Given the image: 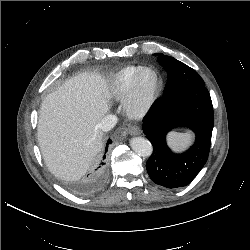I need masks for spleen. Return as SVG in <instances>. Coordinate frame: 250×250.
<instances>
[{
  "instance_id": "3e777b00",
  "label": "spleen",
  "mask_w": 250,
  "mask_h": 250,
  "mask_svg": "<svg viewBox=\"0 0 250 250\" xmlns=\"http://www.w3.org/2000/svg\"><path fill=\"white\" fill-rule=\"evenodd\" d=\"M192 135L189 133L171 132L168 136L170 145L175 148H183L191 141Z\"/></svg>"
}]
</instances>
